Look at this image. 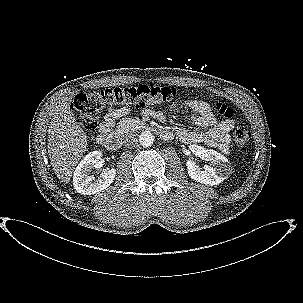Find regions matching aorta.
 <instances>
[{"instance_id": "aorta-1", "label": "aorta", "mask_w": 303, "mask_h": 303, "mask_svg": "<svg viewBox=\"0 0 303 303\" xmlns=\"http://www.w3.org/2000/svg\"><path fill=\"white\" fill-rule=\"evenodd\" d=\"M139 142L143 147H150L154 143V136L149 131H144L139 136Z\"/></svg>"}]
</instances>
